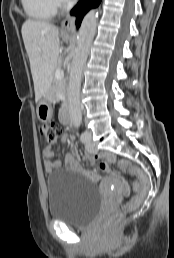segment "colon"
Wrapping results in <instances>:
<instances>
[{"instance_id":"colon-1","label":"colon","mask_w":174,"mask_h":258,"mask_svg":"<svg viewBox=\"0 0 174 258\" xmlns=\"http://www.w3.org/2000/svg\"><path fill=\"white\" fill-rule=\"evenodd\" d=\"M40 135L47 146H53L57 143L62 129L59 124L55 122H43L39 127ZM120 169L137 178L134 183V194L133 196L125 203L124 210H133L135 209L142 201L148 189V179L147 176L135 165H133L128 160H121L119 162ZM123 220L122 212H115L109 215L102 223V230L105 236H113L121 222Z\"/></svg>"}]
</instances>
